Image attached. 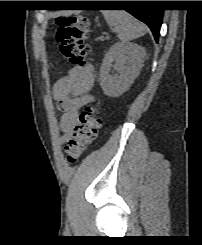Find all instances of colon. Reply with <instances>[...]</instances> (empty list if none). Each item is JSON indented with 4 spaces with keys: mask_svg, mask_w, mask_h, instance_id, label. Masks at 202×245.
<instances>
[{
    "mask_svg": "<svg viewBox=\"0 0 202 245\" xmlns=\"http://www.w3.org/2000/svg\"><path fill=\"white\" fill-rule=\"evenodd\" d=\"M51 27H56L55 40L60 56L76 66L87 64L91 56V47L83 40L88 36L89 23L86 17H57ZM102 124L99 112L93 107H86L80 116V123L65 146L67 160L75 164L96 139Z\"/></svg>",
    "mask_w": 202,
    "mask_h": 245,
    "instance_id": "5ec220e1",
    "label": "colon"
}]
</instances>
